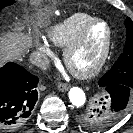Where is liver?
<instances>
[{"label": "liver", "mask_w": 133, "mask_h": 133, "mask_svg": "<svg viewBox=\"0 0 133 133\" xmlns=\"http://www.w3.org/2000/svg\"><path fill=\"white\" fill-rule=\"evenodd\" d=\"M30 45V35L25 36L20 31L4 34L0 37V66L6 60H18Z\"/></svg>", "instance_id": "liver-1"}]
</instances>
